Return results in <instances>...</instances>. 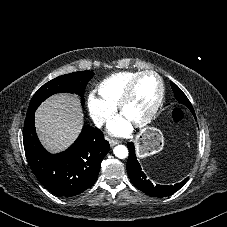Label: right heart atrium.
<instances>
[{"label":"right heart atrium","instance_id":"d8ad5b80","mask_svg":"<svg viewBox=\"0 0 227 227\" xmlns=\"http://www.w3.org/2000/svg\"><path fill=\"white\" fill-rule=\"evenodd\" d=\"M87 107L92 121L97 126H102L114 114V107L95 96L88 98Z\"/></svg>","mask_w":227,"mask_h":227}]
</instances>
